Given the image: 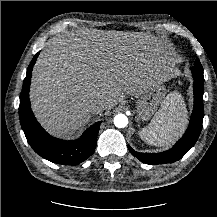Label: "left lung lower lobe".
<instances>
[{"label":"left lung lower lobe","mask_w":217,"mask_h":217,"mask_svg":"<svg viewBox=\"0 0 217 217\" xmlns=\"http://www.w3.org/2000/svg\"><path fill=\"white\" fill-rule=\"evenodd\" d=\"M194 78V108L191 115L190 124L183 137L168 151L161 153H139L128 146L129 151L137 157L141 162L154 165L163 163H173L181 159L197 141L204 117L203 94H204V78L199 77L193 70Z\"/></svg>","instance_id":"obj_1"}]
</instances>
